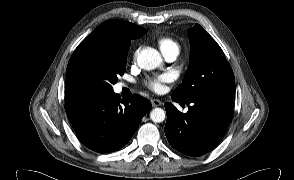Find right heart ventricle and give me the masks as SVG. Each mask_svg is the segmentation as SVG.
Returning <instances> with one entry per match:
<instances>
[{
  "label": "right heart ventricle",
  "mask_w": 294,
  "mask_h": 180,
  "mask_svg": "<svg viewBox=\"0 0 294 180\" xmlns=\"http://www.w3.org/2000/svg\"><path fill=\"white\" fill-rule=\"evenodd\" d=\"M157 46L163 55L171 51L179 52L178 44L173 39L168 37L159 38L157 40Z\"/></svg>",
  "instance_id": "1"
}]
</instances>
